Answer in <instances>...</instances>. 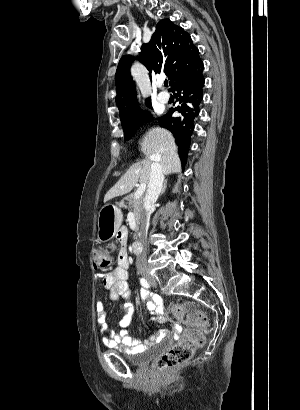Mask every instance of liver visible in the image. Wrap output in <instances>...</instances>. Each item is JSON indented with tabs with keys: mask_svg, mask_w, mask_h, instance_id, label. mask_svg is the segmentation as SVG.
Returning a JSON list of instances; mask_svg holds the SVG:
<instances>
[{
	"mask_svg": "<svg viewBox=\"0 0 300 410\" xmlns=\"http://www.w3.org/2000/svg\"><path fill=\"white\" fill-rule=\"evenodd\" d=\"M140 145L141 151L146 156L145 159L132 165L127 170L119 181L106 193L104 202L129 193L138 182L148 184L151 164L154 160L162 166L164 174L181 171L177 145L169 131L160 127L153 128L146 133Z\"/></svg>",
	"mask_w": 300,
	"mask_h": 410,
	"instance_id": "1",
	"label": "liver"
}]
</instances>
